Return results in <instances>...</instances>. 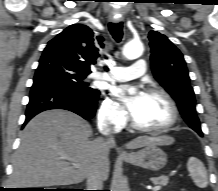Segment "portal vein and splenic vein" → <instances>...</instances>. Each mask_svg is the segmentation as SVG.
<instances>
[{"mask_svg": "<svg viewBox=\"0 0 218 191\" xmlns=\"http://www.w3.org/2000/svg\"><path fill=\"white\" fill-rule=\"evenodd\" d=\"M61 158H62V159H68V160L73 161V162H74L73 165H74L75 167H79V166H80L78 163H76V162L74 161L73 158H71L70 156H68V155L65 154V153H62V154H61ZM160 189H161V186H154V187L152 188V191H159Z\"/></svg>", "mask_w": 218, "mask_h": 191, "instance_id": "portal-vein-and-splenic-vein-1", "label": "portal vein and splenic vein"}]
</instances>
